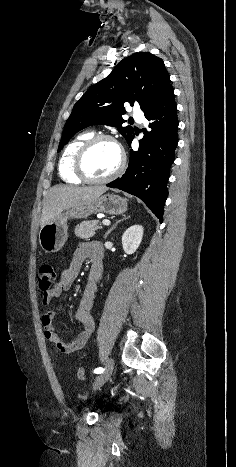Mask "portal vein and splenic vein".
I'll return each mask as SVG.
<instances>
[{
    "label": "portal vein and splenic vein",
    "instance_id": "portal-vein-and-splenic-vein-1",
    "mask_svg": "<svg viewBox=\"0 0 236 467\" xmlns=\"http://www.w3.org/2000/svg\"><path fill=\"white\" fill-rule=\"evenodd\" d=\"M102 224L105 225V226H109V225H110V221H109V220H103V221H102Z\"/></svg>",
    "mask_w": 236,
    "mask_h": 467
}]
</instances>
